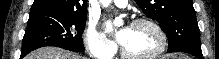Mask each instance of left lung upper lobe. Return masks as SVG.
<instances>
[{
    "label": "left lung upper lobe",
    "instance_id": "1",
    "mask_svg": "<svg viewBox=\"0 0 219 59\" xmlns=\"http://www.w3.org/2000/svg\"><path fill=\"white\" fill-rule=\"evenodd\" d=\"M141 10L160 27L169 39L168 50L185 43L200 44V30L192 0H135Z\"/></svg>",
    "mask_w": 219,
    "mask_h": 59
}]
</instances>
